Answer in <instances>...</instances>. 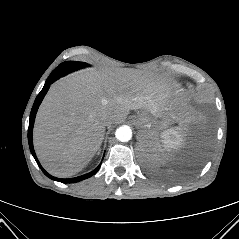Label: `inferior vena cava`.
Instances as JSON below:
<instances>
[{
  "mask_svg": "<svg viewBox=\"0 0 239 239\" xmlns=\"http://www.w3.org/2000/svg\"><path fill=\"white\" fill-rule=\"evenodd\" d=\"M112 122H113V118H112V117H108V118H106V120H105V124H106L107 126H108V125H111Z\"/></svg>",
  "mask_w": 239,
  "mask_h": 239,
  "instance_id": "602c4592",
  "label": "inferior vena cava"
}]
</instances>
